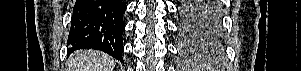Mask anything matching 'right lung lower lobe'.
I'll return each mask as SVG.
<instances>
[{"label":"right lung lower lobe","instance_id":"right-lung-lower-lobe-1","mask_svg":"<svg viewBox=\"0 0 301 71\" xmlns=\"http://www.w3.org/2000/svg\"><path fill=\"white\" fill-rule=\"evenodd\" d=\"M126 8L122 0H77L67 41V47L71 45L68 52L91 48L123 62Z\"/></svg>","mask_w":301,"mask_h":71}]
</instances>
